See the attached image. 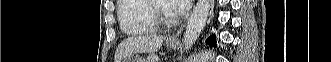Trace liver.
Listing matches in <instances>:
<instances>
[{"mask_svg": "<svg viewBox=\"0 0 331 62\" xmlns=\"http://www.w3.org/2000/svg\"><path fill=\"white\" fill-rule=\"evenodd\" d=\"M163 42L164 37L156 34L129 37L119 44L114 62H121L133 53H155L161 48Z\"/></svg>", "mask_w": 331, "mask_h": 62, "instance_id": "6515ba94", "label": "liver"}]
</instances>
